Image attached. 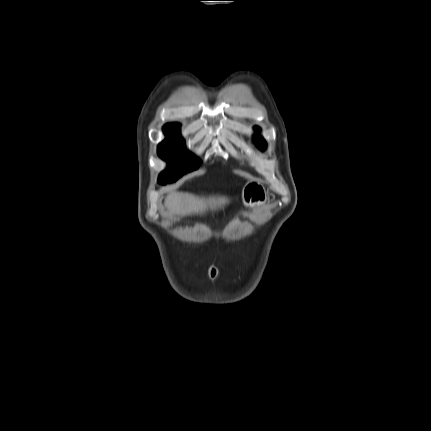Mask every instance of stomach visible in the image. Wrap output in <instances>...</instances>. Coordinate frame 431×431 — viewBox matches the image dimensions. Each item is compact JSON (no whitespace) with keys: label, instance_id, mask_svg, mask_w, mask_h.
Returning <instances> with one entry per match:
<instances>
[{"label":"stomach","instance_id":"0dacf381","mask_svg":"<svg viewBox=\"0 0 431 431\" xmlns=\"http://www.w3.org/2000/svg\"><path fill=\"white\" fill-rule=\"evenodd\" d=\"M242 199L249 208L260 207L267 201V192L263 185L257 182H248L242 191Z\"/></svg>","mask_w":431,"mask_h":431}]
</instances>
